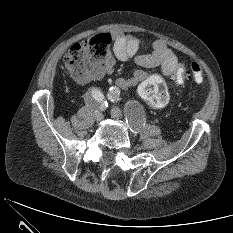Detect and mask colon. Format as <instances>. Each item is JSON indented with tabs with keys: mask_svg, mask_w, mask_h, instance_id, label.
<instances>
[{
	"mask_svg": "<svg viewBox=\"0 0 233 233\" xmlns=\"http://www.w3.org/2000/svg\"><path fill=\"white\" fill-rule=\"evenodd\" d=\"M110 42V35L99 34L75 43L64 57L65 67L71 76L77 80H83L100 75ZM171 78L178 85L188 78L200 84L204 80V71L198 62H192L190 71L180 64ZM139 94L154 109L164 108L169 101L167 87L163 79L157 75H152L141 83Z\"/></svg>",
	"mask_w": 233,
	"mask_h": 233,
	"instance_id": "5ec220e1",
	"label": "colon"
}]
</instances>
